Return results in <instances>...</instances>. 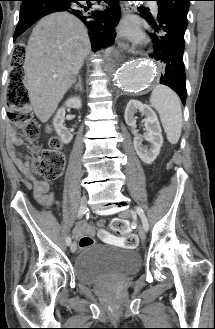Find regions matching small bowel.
Segmentation results:
<instances>
[{
    "instance_id": "obj_1",
    "label": "small bowel",
    "mask_w": 215,
    "mask_h": 329,
    "mask_svg": "<svg viewBox=\"0 0 215 329\" xmlns=\"http://www.w3.org/2000/svg\"><path fill=\"white\" fill-rule=\"evenodd\" d=\"M20 142L21 141L17 139L14 131L11 130L9 141H8V149L10 156L13 158L15 164L22 172V174L33 182L35 200L44 207L47 208L52 207L55 203V195L53 193L48 192V184L43 181L34 179L28 161L29 157L26 156V160L23 161L19 156V154L14 149V145ZM93 230L94 232H96L97 236H102L101 237L102 242H110L113 244H120L122 242L119 238H114L111 235H109V230L107 229L106 225H94ZM91 232H92V227L86 223H81L75 229V234L81 238L84 236L85 233H91Z\"/></svg>"
}]
</instances>
